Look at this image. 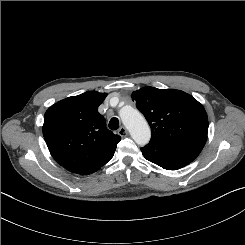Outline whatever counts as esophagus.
<instances>
[{
	"instance_id": "esophagus-1",
	"label": "esophagus",
	"mask_w": 245,
	"mask_h": 245,
	"mask_svg": "<svg viewBox=\"0 0 245 245\" xmlns=\"http://www.w3.org/2000/svg\"><path fill=\"white\" fill-rule=\"evenodd\" d=\"M118 134L121 136V137H126L128 135V131L127 129L122 126L120 127V129L118 130Z\"/></svg>"
}]
</instances>
